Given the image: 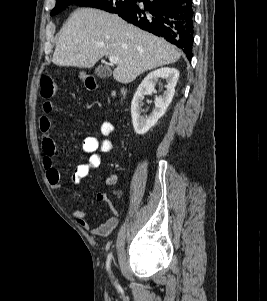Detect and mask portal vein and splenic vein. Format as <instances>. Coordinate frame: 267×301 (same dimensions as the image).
<instances>
[{
    "label": "portal vein and splenic vein",
    "instance_id": "1",
    "mask_svg": "<svg viewBox=\"0 0 267 301\" xmlns=\"http://www.w3.org/2000/svg\"><path fill=\"white\" fill-rule=\"evenodd\" d=\"M109 61L113 64H118L119 63V59L116 56H110L109 57Z\"/></svg>",
    "mask_w": 267,
    "mask_h": 301
}]
</instances>
